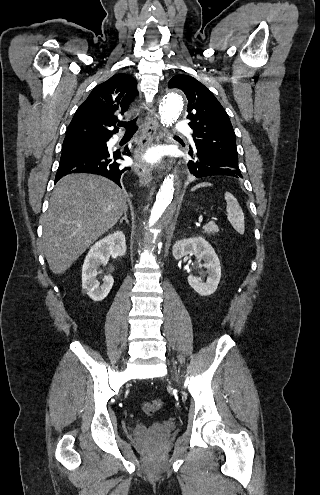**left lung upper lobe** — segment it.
<instances>
[{"label": "left lung upper lobe", "mask_w": 320, "mask_h": 495, "mask_svg": "<svg viewBox=\"0 0 320 495\" xmlns=\"http://www.w3.org/2000/svg\"><path fill=\"white\" fill-rule=\"evenodd\" d=\"M169 88L182 90L188 99L189 126L194 147H202L222 158L238 163L236 138L230 119L212 92L195 78L179 74L169 81Z\"/></svg>", "instance_id": "5c2ea615"}]
</instances>
